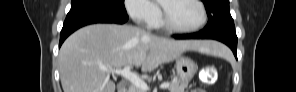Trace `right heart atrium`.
I'll return each instance as SVG.
<instances>
[{"mask_svg": "<svg viewBox=\"0 0 296 92\" xmlns=\"http://www.w3.org/2000/svg\"><path fill=\"white\" fill-rule=\"evenodd\" d=\"M125 7L134 21L144 25H152L159 18V7L154 1L127 0Z\"/></svg>", "mask_w": 296, "mask_h": 92, "instance_id": "obj_1", "label": "right heart atrium"}]
</instances>
